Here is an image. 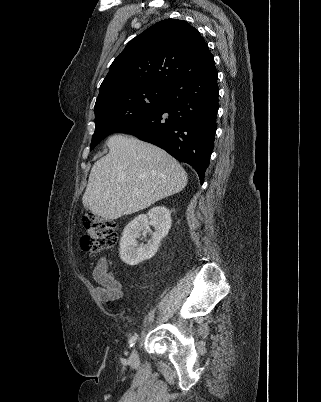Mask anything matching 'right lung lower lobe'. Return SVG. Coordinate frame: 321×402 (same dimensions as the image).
Masks as SVG:
<instances>
[{
  "mask_svg": "<svg viewBox=\"0 0 321 402\" xmlns=\"http://www.w3.org/2000/svg\"><path fill=\"white\" fill-rule=\"evenodd\" d=\"M217 76L212 63L179 78L166 87L156 110L116 132L134 135L190 164L203 184L217 128Z\"/></svg>",
  "mask_w": 321,
  "mask_h": 402,
  "instance_id": "98d812e1",
  "label": "right lung lower lobe"
}]
</instances>
